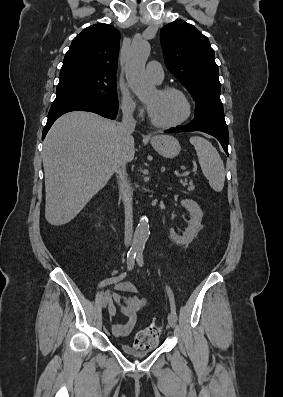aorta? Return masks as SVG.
Masks as SVG:
<instances>
[{
	"label": "aorta",
	"mask_w": 283,
	"mask_h": 397,
	"mask_svg": "<svg viewBox=\"0 0 283 397\" xmlns=\"http://www.w3.org/2000/svg\"><path fill=\"white\" fill-rule=\"evenodd\" d=\"M149 54L150 45L147 42H134L126 61V79L131 90L139 99H144L155 90L154 85L148 80L145 73V64ZM149 235V219L144 215L140 217L136 227L132 249L134 251L143 250Z\"/></svg>",
	"instance_id": "1"
}]
</instances>
